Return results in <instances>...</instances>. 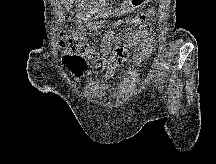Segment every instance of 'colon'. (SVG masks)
I'll return each mask as SVG.
<instances>
[{"label":"colon","mask_w":216,"mask_h":164,"mask_svg":"<svg viewBox=\"0 0 216 164\" xmlns=\"http://www.w3.org/2000/svg\"><path fill=\"white\" fill-rule=\"evenodd\" d=\"M60 45L67 52V55L63 58V63L76 75H81L87 67V63L79 54L87 52L93 47L92 43L75 34H62L60 37ZM97 64L102 66L100 60H97Z\"/></svg>","instance_id":"5ec220e1"}]
</instances>
